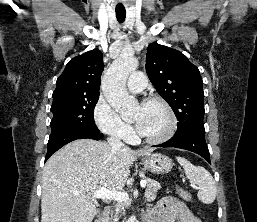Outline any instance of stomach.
Instances as JSON below:
<instances>
[{
    "label": "stomach",
    "mask_w": 257,
    "mask_h": 222,
    "mask_svg": "<svg viewBox=\"0 0 257 222\" xmlns=\"http://www.w3.org/2000/svg\"><path fill=\"white\" fill-rule=\"evenodd\" d=\"M142 163L146 169L155 174L167 173L173 167L172 160L161 153H154L143 158Z\"/></svg>",
    "instance_id": "0dacf381"
}]
</instances>
